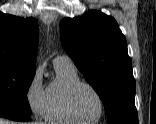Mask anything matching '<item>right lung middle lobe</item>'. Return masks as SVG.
Wrapping results in <instances>:
<instances>
[{
  "mask_svg": "<svg viewBox=\"0 0 156 124\" xmlns=\"http://www.w3.org/2000/svg\"><path fill=\"white\" fill-rule=\"evenodd\" d=\"M35 70L0 65V108L31 114L27 92Z\"/></svg>",
  "mask_w": 156,
  "mask_h": 124,
  "instance_id": "obj_1",
  "label": "right lung middle lobe"
}]
</instances>
